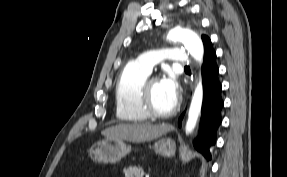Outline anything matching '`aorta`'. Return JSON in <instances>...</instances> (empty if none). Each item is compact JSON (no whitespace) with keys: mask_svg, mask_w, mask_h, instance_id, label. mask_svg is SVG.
Instances as JSON below:
<instances>
[{"mask_svg":"<svg viewBox=\"0 0 287 177\" xmlns=\"http://www.w3.org/2000/svg\"><path fill=\"white\" fill-rule=\"evenodd\" d=\"M167 38L171 41L182 42L185 48L191 54V56L197 62L202 63L204 53L203 43L196 33H194L189 29L175 28L168 33ZM202 99H203L202 83L201 81H199L193 94L189 108L188 120L185 127L187 135L191 133L196 126L198 117L201 112Z\"/></svg>","mask_w":287,"mask_h":177,"instance_id":"obj_1","label":"aorta"}]
</instances>
